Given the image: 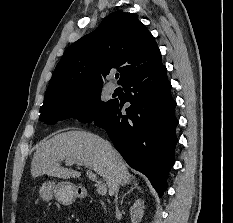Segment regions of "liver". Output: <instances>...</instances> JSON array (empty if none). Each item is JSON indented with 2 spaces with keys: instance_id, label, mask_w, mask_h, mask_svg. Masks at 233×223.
<instances>
[{
  "instance_id": "obj_1",
  "label": "liver",
  "mask_w": 233,
  "mask_h": 223,
  "mask_svg": "<svg viewBox=\"0 0 233 223\" xmlns=\"http://www.w3.org/2000/svg\"><path fill=\"white\" fill-rule=\"evenodd\" d=\"M61 161L66 165H84L95 171L107 183L109 195H114V179L117 177L120 183L134 179L120 153L112 145L109 149L108 141L90 131H64L40 141L31 161L32 177L46 173L61 179H79L81 171L64 167Z\"/></svg>"
}]
</instances>
